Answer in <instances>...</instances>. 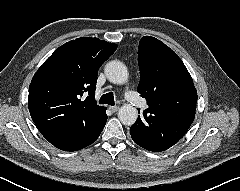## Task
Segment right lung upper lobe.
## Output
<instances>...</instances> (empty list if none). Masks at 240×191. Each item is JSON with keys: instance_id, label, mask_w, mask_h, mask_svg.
<instances>
[{"instance_id": "cb5924a9", "label": "right lung upper lobe", "mask_w": 240, "mask_h": 191, "mask_svg": "<svg viewBox=\"0 0 240 191\" xmlns=\"http://www.w3.org/2000/svg\"><path fill=\"white\" fill-rule=\"evenodd\" d=\"M116 48L98 38H77L57 48L37 70L28 107L44 137L81 130L101 119L106 108L94 98L98 69Z\"/></svg>"}]
</instances>
